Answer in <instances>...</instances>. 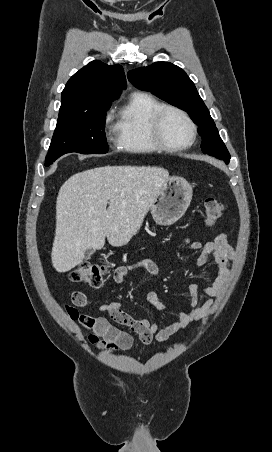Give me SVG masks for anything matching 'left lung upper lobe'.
I'll use <instances>...</instances> for the list:
<instances>
[{
    "instance_id": "1",
    "label": "left lung upper lobe",
    "mask_w": 272,
    "mask_h": 452,
    "mask_svg": "<svg viewBox=\"0 0 272 452\" xmlns=\"http://www.w3.org/2000/svg\"><path fill=\"white\" fill-rule=\"evenodd\" d=\"M129 81L138 89L149 91L162 100L189 113L198 125L203 153L230 161V154L203 100L188 75L169 62H156L128 72Z\"/></svg>"
}]
</instances>
